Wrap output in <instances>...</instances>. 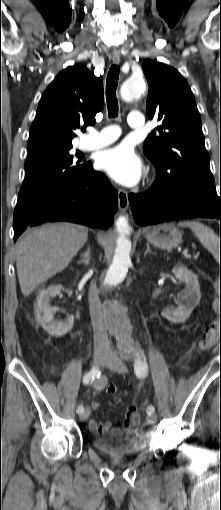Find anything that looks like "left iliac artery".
Returning a JSON list of instances; mask_svg holds the SVG:
<instances>
[{
  "label": "left iliac artery",
  "instance_id": "1",
  "mask_svg": "<svg viewBox=\"0 0 221 510\" xmlns=\"http://www.w3.org/2000/svg\"><path fill=\"white\" fill-rule=\"evenodd\" d=\"M148 371V364L146 362V359L143 357V355L137 353V359L134 363V372L138 377L145 376V374ZM155 408L153 405H149L147 407V414L150 415L154 413Z\"/></svg>",
  "mask_w": 221,
  "mask_h": 510
}]
</instances>
